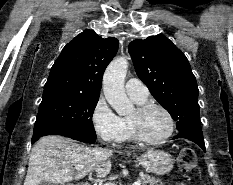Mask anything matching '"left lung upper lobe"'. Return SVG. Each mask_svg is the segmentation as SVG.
Listing matches in <instances>:
<instances>
[{
    "label": "left lung upper lobe",
    "mask_w": 233,
    "mask_h": 185,
    "mask_svg": "<svg viewBox=\"0 0 233 185\" xmlns=\"http://www.w3.org/2000/svg\"><path fill=\"white\" fill-rule=\"evenodd\" d=\"M129 53L138 77L182 132L200 127L198 86L186 56L163 35L137 39Z\"/></svg>",
    "instance_id": "obj_1"
}]
</instances>
